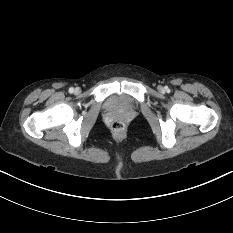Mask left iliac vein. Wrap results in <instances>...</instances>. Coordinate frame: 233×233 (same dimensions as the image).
Segmentation results:
<instances>
[{"label":"left iliac vein","instance_id":"left-iliac-vein-1","mask_svg":"<svg viewBox=\"0 0 233 233\" xmlns=\"http://www.w3.org/2000/svg\"><path fill=\"white\" fill-rule=\"evenodd\" d=\"M159 91L160 92H164V88L163 87H159Z\"/></svg>","mask_w":233,"mask_h":233}]
</instances>
